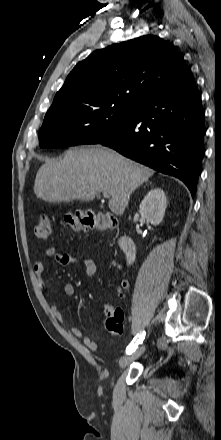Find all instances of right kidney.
I'll list each match as a JSON object with an SVG mask.
<instances>
[{
    "label": "right kidney",
    "instance_id": "right-kidney-1",
    "mask_svg": "<svg viewBox=\"0 0 221 440\" xmlns=\"http://www.w3.org/2000/svg\"><path fill=\"white\" fill-rule=\"evenodd\" d=\"M167 199L163 189L154 188L149 191L142 200L139 213L142 218H145L147 222L152 225H159L165 214ZM139 215L136 214L134 222L138 221Z\"/></svg>",
    "mask_w": 221,
    "mask_h": 440
}]
</instances>
